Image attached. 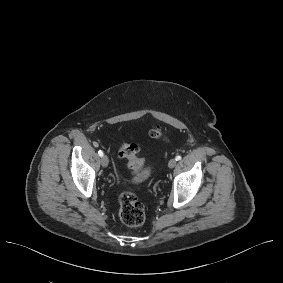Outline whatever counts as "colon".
<instances>
[{
    "label": "colon",
    "mask_w": 283,
    "mask_h": 283,
    "mask_svg": "<svg viewBox=\"0 0 283 283\" xmlns=\"http://www.w3.org/2000/svg\"><path fill=\"white\" fill-rule=\"evenodd\" d=\"M150 136L154 139H161L163 133L159 127L150 130ZM138 148L135 144L124 143L119 149V155L128 159L133 170L142 167V160L137 158ZM119 217L129 227H139L146 219L145 208L137 196L131 192L122 193L118 197Z\"/></svg>",
    "instance_id": "5ec220e1"
}]
</instances>
